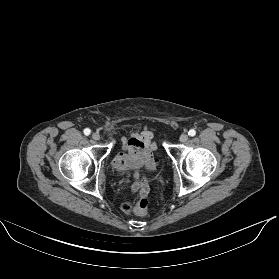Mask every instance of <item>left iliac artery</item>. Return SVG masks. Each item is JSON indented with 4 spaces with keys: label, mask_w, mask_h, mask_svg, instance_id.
Masks as SVG:
<instances>
[{
    "label": "left iliac artery",
    "mask_w": 279,
    "mask_h": 279,
    "mask_svg": "<svg viewBox=\"0 0 279 279\" xmlns=\"http://www.w3.org/2000/svg\"><path fill=\"white\" fill-rule=\"evenodd\" d=\"M195 134H196V131L194 129H191L188 132V135L191 136V137L195 136Z\"/></svg>",
    "instance_id": "left-iliac-artery-1"
}]
</instances>
